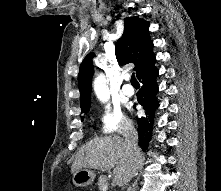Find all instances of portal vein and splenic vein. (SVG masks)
Masks as SVG:
<instances>
[{
  "mask_svg": "<svg viewBox=\"0 0 221 191\" xmlns=\"http://www.w3.org/2000/svg\"><path fill=\"white\" fill-rule=\"evenodd\" d=\"M107 188H108V187H107V186H105V187L103 188V191H106V190H107Z\"/></svg>",
  "mask_w": 221,
  "mask_h": 191,
  "instance_id": "18ae733b",
  "label": "portal vein and splenic vein"
}]
</instances>
